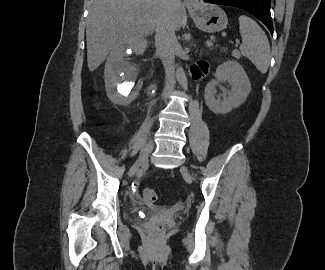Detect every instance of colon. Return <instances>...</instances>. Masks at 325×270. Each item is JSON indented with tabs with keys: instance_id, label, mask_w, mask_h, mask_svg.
I'll return each mask as SVG.
<instances>
[{
	"instance_id": "colon-1",
	"label": "colon",
	"mask_w": 325,
	"mask_h": 270,
	"mask_svg": "<svg viewBox=\"0 0 325 270\" xmlns=\"http://www.w3.org/2000/svg\"><path fill=\"white\" fill-rule=\"evenodd\" d=\"M143 197L144 200L148 203H152L157 199V194L153 189L150 188H146L143 192ZM157 231L161 232L163 231V227L162 226H158L157 227Z\"/></svg>"
}]
</instances>
